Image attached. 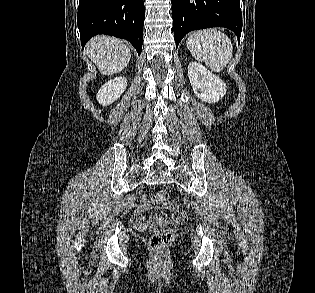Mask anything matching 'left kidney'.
Segmentation results:
<instances>
[{
    "instance_id": "5707ae66",
    "label": "left kidney",
    "mask_w": 315,
    "mask_h": 293,
    "mask_svg": "<svg viewBox=\"0 0 315 293\" xmlns=\"http://www.w3.org/2000/svg\"><path fill=\"white\" fill-rule=\"evenodd\" d=\"M188 76L195 95L204 102H218L226 94V84L200 63L189 64Z\"/></svg>"
}]
</instances>
